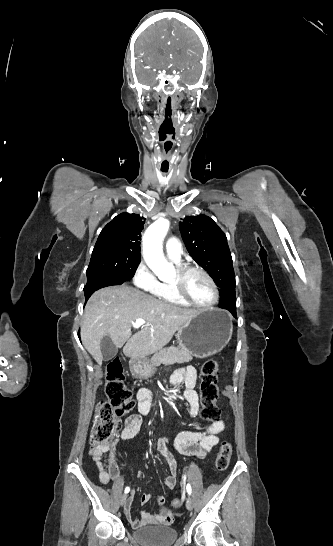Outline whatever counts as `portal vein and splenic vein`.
Instances as JSON below:
<instances>
[{
  "label": "portal vein and splenic vein",
  "instance_id": "1",
  "mask_svg": "<svg viewBox=\"0 0 333 546\" xmlns=\"http://www.w3.org/2000/svg\"><path fill=\"white\" fill-rule=\"evenodd\" d=\"M146 322L144 319L142 318H138L134 323H133V327L138 329L140 328L142 325H144Z\"/></svg>",
  "mask_w": 333,
  "mask_h": 546
}]
</instances>
